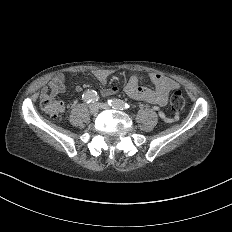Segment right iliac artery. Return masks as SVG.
Wrapping results in <instances>:
<instances>
[{
  "label": "right iliac artery",
  "mask_w": 232,
  "mask_h": 232,
  "mask_svg": "<svg viewBox=\"0 0 232 232\" xmlns=\"http://www.w3.org/2000/svg\"><path fill=\"white\" fill-rule=\"evenodd\" d=\"M99 96L96 91L94 90H86L82 94V100L86 103H94L98 101Z\"/></svg>",
  "instance_id": "obj_1"
}]
</instances>
